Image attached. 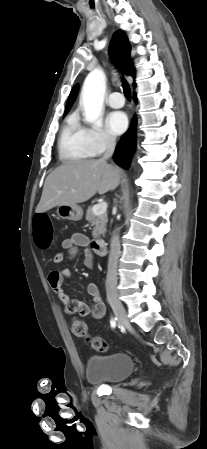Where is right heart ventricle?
Returning a JSON list of instances; mask_svg holds the SVG:
<instances>
[{"label": "right heart ventricle", "mask_w": 207, "mask_h": 449, "mask_svg": "<svg viewBox=\"0 0 207 449\" xmlns=\"http://www.w3.org/2000/svg\"><path fill=\"white\" fill-rule=\"evenodd\" d=\"M58 153L64 162L78 161L93 156L86 140L84 128L75 114L66 119L61 130Z\"/></svg>", "instance_id": "1"}]
</instances>
